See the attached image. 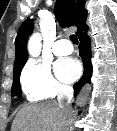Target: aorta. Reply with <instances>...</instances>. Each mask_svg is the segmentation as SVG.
Listing matches in <instances>:
<instances>
[{"label": "aorta", "mask_w": 117, "mask_h": 131, "mask_svg": "<svg viewBox=\"0 0 117 131\" xmlns=\"http://www.w3.org/2000/svg\"><path fill=\"white\" fill-rule=\"evenodd\" d=\"M41 40L42 38L39 33H34L30 37L28 41V51L32 57H38L40 55L42 47Z\"/></svg>", "instance_id": "762f6f07"}]
</instances>
